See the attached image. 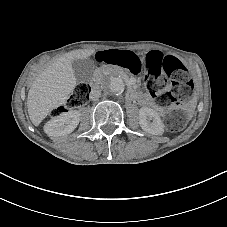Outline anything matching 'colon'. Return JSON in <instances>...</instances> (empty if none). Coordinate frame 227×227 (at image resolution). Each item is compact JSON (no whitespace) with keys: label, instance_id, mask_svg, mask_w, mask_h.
I'll return each instance as SVG.
<instances>
[{"label":"colon","instance_id":"5ec220e1","mask_svg":"<svg viewBox=\"0 0 227 227\" xmlns=\"http://www.w3.org/2000/svg\"><path fill=\"white\" fill-rule=\"evenodd\" d=\"M96 60L123 67L132 74H138L143 68H146V87L160 106L168 108L177 106L192 94L193 83L187 68L173 56H159L150 52L141 57L131 51L110 50L98 52ZM162 74L171 80L173 86L170 90L165 89V80ZM89 93L90 86L88 84L78 85L65 104L54 111V115L85 105L89 100ZM185 120L186 116L180 110H172L164 117L165 125L171 131L179 130Z\"/></svg>","mask_w":227,"mask_h":227}]
</instances>
